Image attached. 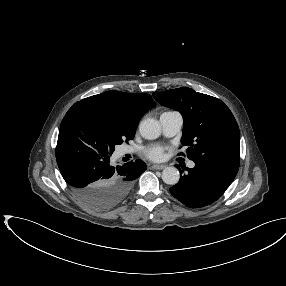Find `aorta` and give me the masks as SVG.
Masks as SVG:
<instances>
[{"label": "aorta", "mask_w": 286, "mask_h": 286, "mask_svg": "<svg viewBox=\"0 0 286 286\" xmlns=\"http://www.w3.org/2000/svg\"><path fill=\"white\" fill-rule=\"evenodd\" d=\"M141 136L148 140H153L161 135V127L154 119H146L139 126ZM180 179V173L175 167H166L162 171V180L168 185H175Z\"/></svg>", "instance_id": "aorta-1"}]
</instances>
